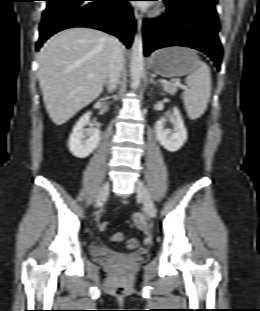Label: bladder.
I'll return each mask as SVG.
<instances>
[{
	"label": "bladder",
	"instance_id": "bladder-1",
	"mask_svg": "<svg viewBox=\"0 0 260 311\" xmlns=\"http://www.w3.org/2000/svg\"><path fill=\"white\" fill-rule=\"evenodd\" d=\"M90 252L92 256L98 260H112L118 257V254H116L113 250H111L108 247L101 246V245H92L90 247ZM129 257L138 258L137 254L131 255Z\"/></svg>",
	"mask_w": 260,
	"mask_h": 311
}]
</instances>
